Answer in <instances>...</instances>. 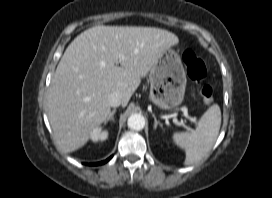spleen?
<instances>
[{
	"label": "spleen",
	"mask_w": 272,
	"mask_h": 198,
	"mask_svg": "<svg viewBox=\"0 0 272 198\" xmlns=\"http://www.w3.org/2000/svg\"><path fill=\"white\" fill-rule=\"evenodd\" d=\"M220 126L221 110L214 104L202 115L194 131L173 134L174 143L185 150V165L197 163L212 149Z\"/></svg>",
	"instance_id": "spleen-1"
}]
</instances>
